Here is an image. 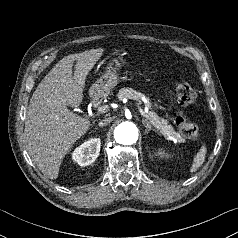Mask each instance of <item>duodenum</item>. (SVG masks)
Returning a JSON list of instances; mask_svg holds the SVG:
<instances>
[{
	"label": "duodenum",
	"mask_w": 238,
	"mask_h": 238,
	"mask_svg": "<svg viewBox=\"0 0 238 238\" xmlns=\"http://www.w3.org/2000/svg\"><path fill=\"white\" fill-rule=\"evenodd\" d=\"M94 103L97 104L98 103V98L97 97H94Z\"/></svg>",
	"instance_id": "410a0bca"
}]
</instances>
